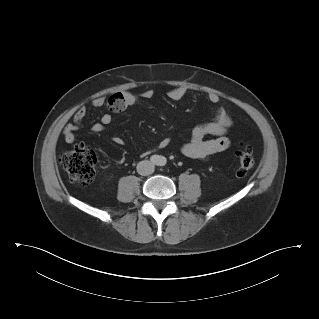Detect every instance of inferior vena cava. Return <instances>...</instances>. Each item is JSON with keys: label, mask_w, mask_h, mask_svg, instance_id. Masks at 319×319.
I'll use <instances>...</instances> for the list:
<instances>
[{"label": "inferior vena cava", "mask_w": 319, "mask_h": 319, "mask_svg": "<svg viewBox=\"0 0 319 319\" xmlns=\"http://www.w3.org/2000/svg\"><path fill=\"white\" fill-rule=\"evenodd\" d=\"M137 172L142 176L150 175L154 172V165L148 160L140 161L137 164Z\"/></svg>", "instance_id": "obj_1"}]
</instances>
